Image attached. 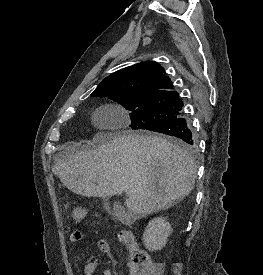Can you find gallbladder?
<instances>
[{"label":"gallbladder","instance_id":"1","mask_svg":"<svg viewBox=\"0 0 263 275\" xmlns=\"http://www.w3.org/2000/svg\"><path fill=\"white\" fill-rule=\"evenodd\" d=\"M120 212H121V210H120L119 208H117L116 210L113 211V213H114L116 216H118Z\"/></svg>","mask_w":263,"mask_h":275}]
</instances>
